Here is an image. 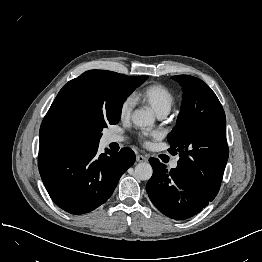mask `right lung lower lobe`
I'll use <instances>...</instances> for the list:
<instances>
[{"label":"right lung lower lobe","mask_w":262,"mask_h":262,"mask_svg":"<svg viewBox=\"0 0 262 262\" xmlns=\"http://www.w3.org/2000/svg\"><path fill=\"white\" fill-rule=\"evenodd\" d=\"M85 142L40 144L38 168L57 206L71 214L90 212L106 202L123 173L135 162L130 148L119 153Z\"/></svg>","instance_id":"right-lung-lower-lobe-1"}]
</instances>
